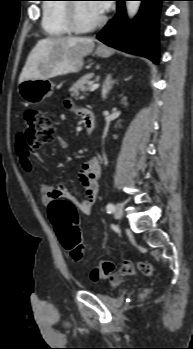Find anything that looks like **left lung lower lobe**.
<instances>
[{
    "label": "left lung lower lobe",
    "instance_id": "0a47b994",
    "mask_svg": "<svg viewBox=\"0 0 193 349\" xmlns=\"http://www.w3.org/2000/svg\"><path fill=\"white\" fill-rule=\"evenodd\" d=\"M117 1V14L97 35L110 47L142 55L158 62V18L160 3L165 0L142 1L140 11L131 22L126 19L124 1Z\"/></svg>",
    "mask_w": 193,
    "mask_h": 349
}]
</instances>
